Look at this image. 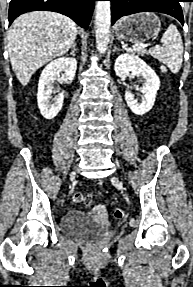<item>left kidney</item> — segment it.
Returning a JSON list of instances; mask_svg holds the SVG:
<instances>
[{
	"label": "left kidney",
	"mask_w": 193,
	"mask_h": 287,
	"mask_svg": "<svg viewBox=\"0 0 193 287\" xmlns=\"http://www.w3.org/2000/svg\"><path fill=\"white\" fill-rule=\"evenodd\" d=\"M115 73L120 78L130 75L143 79L144 84L140 88L142 101L138 102L130 92H125V100L131 111L137 115L147 113L154 105L160 80L154 70L135 54L124 53L115 60Z\"/></svg>",
	"instance_id": "left-kidney-1"
}]
</instances>
